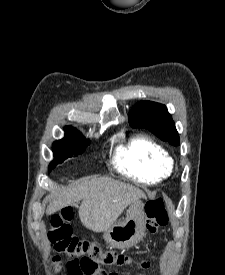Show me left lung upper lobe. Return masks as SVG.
Wrapping results in <instances>:
<instances>
[{
  "label": "left lung upper lobe",
  "instance_id": "left-lung-upper-lobe-1",
  "mask_svg": "<svg viewBox=\"0 0 225 275\" xmlns=\"http://www.w3.org/2000/svg\"><path fill=\"white\" fill-rule=\"evenodd\" d=\"M129 123L132 127L146 128L163 141L179 145V135L165 105L140 101L131 110Z\"/></svg>",
  "mask_w": 225,
  "mask_h": 275
}]
</instances>
